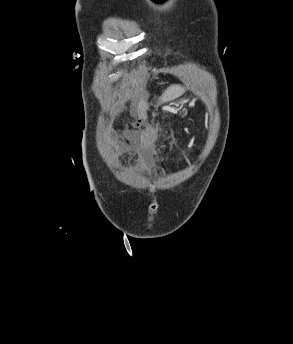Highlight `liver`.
Listing matches in <instances>:
<instances>
[{
    "instance_id": "6515ba94",
    "label": "liver",
    "mask_w": 293,
    "mask_h": 344,
    "mask_svg": "<svg viewBox=\"0 0 293 344\" xmlns=\"http://www.w3.org/2000/svg\"><path fill=\"white\" fill-rule=\"evenodd\" d=\"M185 92V89L181 87L180 85H171L168 87L165 92L160 97L161 102H168L172 101L181 95H183Z\"/></svg>"
}]
</instances>
